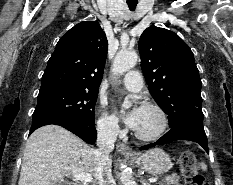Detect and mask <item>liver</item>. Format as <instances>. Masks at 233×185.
Returning <instances> with one entry per match:
<instances>
[{"label": "liver", "instance_id": "6515ba94", "mask_svg": "<svg viewBox=\"0 0 233 185\" xmlns=\"http://www.w3.org/2000/svg\"><path fill=\"white\" fill-rule=\"evenodd\" d=\"M94 152L65 128L43 126L26 142L18 185H61L65 176L80 173L96 178Z\"/></svg>", "mask_w": 233, "mask_h": 185}]
</instances>
